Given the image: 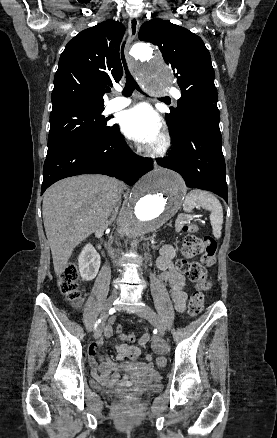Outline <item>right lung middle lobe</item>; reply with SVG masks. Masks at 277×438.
Segmentation results:
<instances>
[{
	"mask_svg": "<svg viewBox=\"0 0 277 438\" xmlns=\"http://www.w3.org/2000/svg\"><path fill=\"white\" fill-rule=\"evenodd\" d=\"M104 109H79L67 114H50L48 151L60 146L86 140L100 139L118 127L107 125Z\"/></svg>",
	"mask_w": 277,
	"mask_h": 438,
	"instance_id": "right-lung-middle-lobe-1",
	"label": "right lung middle lobe"
}]
</instances>
